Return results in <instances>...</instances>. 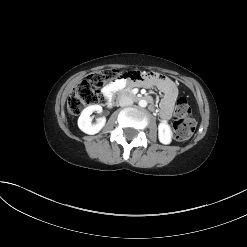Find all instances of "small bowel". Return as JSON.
I'll return each mask as SVG.
<instances>
[{
    "label": "small bowel",
    "instance_id": "small-bowel-1",
    "mask_svg": "<svg viewBox=\"0 0 247 247\" xmlns=\"http://www.w3.org/2000/svg\"><path fill=\"white\" fill-rule=\"evenodd\" d=\"M130 80V79H129ZM131 82H136L130 80ZM127 84L126 78H121L115 82L110 83L104 88V95L108 101L111 100L112 96L123 89ZM148 85H154L158 87L164 94V97L160 104V117L164 121H168L173 112L175 101L178 96V90L175 84L167 77L159 75L155 80L148 81Z\"/></svg>",
    "mask_w": 247,
    "mask_h": 247
}]
</instances>
